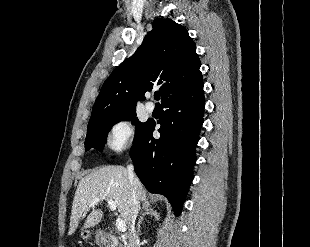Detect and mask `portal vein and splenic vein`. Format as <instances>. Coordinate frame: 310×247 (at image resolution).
<instances>
[{
	"label": "portal vein and splenic vein",
	"instance_id": "obj_1",
	"mask_svg": "<svg viewBox=\"0 0 310 247\" xmlns=\"http://www.w3.org/2000/svg\"><path fill=\"white\" fill-rule=\"evenodd\" d=\"M102 200H106L107 203H108V206L110 208L111 211H115L116 210V202L111 200V199H107L105 197H97V198H94L93 201L90 203V206H94L96 205L98 202L102 201ZM116 227L117 229L120 231V232H125L126 231V224L125 222L121 219V218H117L116 219Z\"/></svg>",
	"mask_w": 310,
	"mask_h": 247
}]
</instances>
